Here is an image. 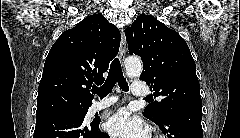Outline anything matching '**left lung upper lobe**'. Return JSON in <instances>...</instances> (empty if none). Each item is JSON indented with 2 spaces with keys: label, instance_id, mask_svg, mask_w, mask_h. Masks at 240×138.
<instances>
[{
  "label": "left lung upper lobe",
  "instance_id": "5c2ea615",
  "mask_svg": "<svg viewBox=\"0 0 240 138\" xmlns=\"http://www.w3.org/2000/svg\"><path fill=\"white\" fill-rule=\"evenodd\" d=\"M130 54L141 57L140 79L151 84L160 102L148 105L144 116L161 122L174 107L201 103L196 65L184 39L150 15H140L125 30Z\"/></svg>",
  "mask_w": 240,
  "mask_h": 138
}]
</instances>
